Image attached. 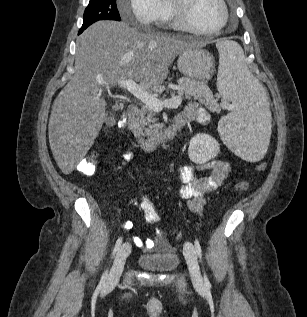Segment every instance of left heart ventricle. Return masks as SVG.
<instances>
[{"instance_id": "obj_1", "label": "left heart ventricle", "mask_w": 307, "mask_h": 317, "mask_svg": "<svg viewBox=\"0 0 307 317\" xmlns=\"http://www.w3.org/2000/svg\"><path fill=\"white\" fill-rule=\"evenodd\" d=\"M222 16V8L218 0H193L189 9L191 22L200 30L216 28Z\"/></svg>"}]
</instances>
